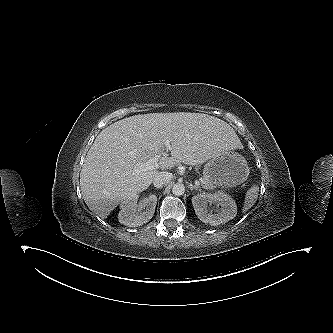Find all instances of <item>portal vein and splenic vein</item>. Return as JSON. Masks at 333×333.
Returning a JSON list of instances; mask_svg holds the SVG:
<instances>
[{
  "mask_svg": "<svg viewBox=\"0 0 333 333\" xmlns=\"http://www.w3.org/2000/svg\"><path fill=\"white\" fill-rule=\"evenodd\" d=\"M171 148L170 142L167 140L165 142V147L160 151L159 154L154 156L153 158L149 159L148 161L141 163L137 168H135V172L139 173L141 171H147V170H153L158 168V161L161 158V156H165L166 152ZM196 185L199 186L200 182L196 181Z\"/></svg>",
  "mask_w": 333,
  "mask_h": 333,
  "instance_id": "obj_1",
  "label": "portal vein and splenic vein"
}]
</instances>
